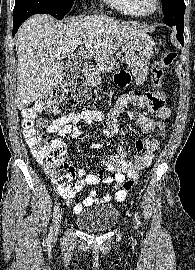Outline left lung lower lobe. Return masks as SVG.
I'll use <instances>...</instances> for the list:
<instances>
[{
	"mask_svg": "<svg viewBox=\"0 0 195 270\" xmlns=\"http://www.w3.org/2000/svg\"><path fill=\"white\" fill-rule=\"evenodd\" d=\"M176 30H177V39L179 40V42L181 43V45L183 46L184 44V39H183V31H184V24H180V25H173Z\"/></svg>",
	"mask_w": 195,
	"mask_h": 270,
	"instance_id": "left-lung-lower-lobe-1",
	"label": "left lung lower lobe"
}]
</instances>
